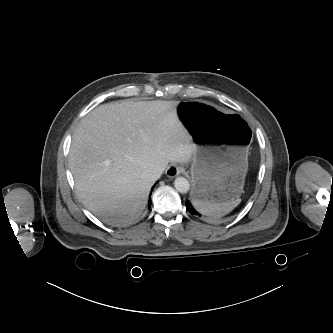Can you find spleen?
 Returning a JSON list of instances; mask_svg holds the SVG:
<instances>
[{
  "instance_id": "3e777b00",
  "label": "spleen",
  "mask_w": 333,
  "mask_h": 333,
  "mask_svg": "<svg viewBox=\"0 0 333 333\" xmlns=\"http://www.w3.org/2000/svg\"><path fill=\"white\" fill-rule=\"evenodd\" d=\"M241 202V199H237L234 202L229 203H213L209 201H203L198 199H192V204L195 209L201 214L210 217H221L231 212Z\"/></svg>"
}]
</instances>
